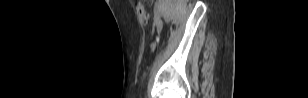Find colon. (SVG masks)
I'll use <instances>...</instances> for the list:
<instances>
[{
	"label": "colon",
	"instance_id": "obj_1",
	"mask_svg": "<svg viewBox=\"0 0 308 98\" xmlns=\"http://www.w3.org/2000/svg\"><path fill=\"white\" fill-rule=\"evenodd\" d=\"M137 12H138L140 20L143 23H147L148 20H149V15H148V13L145 10V6H144L143 2H138L137 3Z\"/></svg>",
	"mask_w": 308,
	"mask_h": 98
}]
</instances>
